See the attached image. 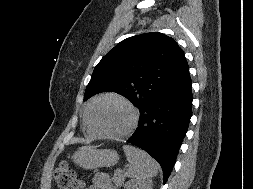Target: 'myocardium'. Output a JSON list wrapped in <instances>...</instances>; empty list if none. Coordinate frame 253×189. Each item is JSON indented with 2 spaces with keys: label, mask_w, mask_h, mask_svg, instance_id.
<instances>
[{
  "label": "myocardium",
  "mask_w": 253,
  "mask_h": 189,
  "mask_svg": "<svg viewBox=\"0 0 253 189\" xmlns=\"http://www.w3.org/2000/svg\"><path fill=\"white\" fill-rule=\"evenodd\" d=\"M108 98H113V99H116V100L122 102L131 111V114H132L131 122H130L129 126L122 132H119V133L103 132L96 127V125L93 121L92 115H93V109H94L95 105L98 102H100L101 100L108 99ZM139 118H140V114H139L138 109L135 107V105L131 101H129L126 97H124L120 94H117V93H105V94H102V95L96 97L90 103L88 111H87V122H88L90 129L92 130V132L95 135H97L101 138H105V139H121V138H125V137L129 136L137 128L138 123H139Z\"/></svg>",
  "instance_id": "f54148a6"
}]
</instances>
